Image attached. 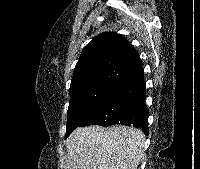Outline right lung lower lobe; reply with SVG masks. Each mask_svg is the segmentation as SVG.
<instances>
[{
  "instance_id": "obj_1",
  "label": "right lung lower lobe",
  "mask_w": 200,
  "mask_h": 169,
  "mask_svg": "<svg viewBox=\"0 0 200 169\" xmlns=\"http://www.w3.org/2000/svg\"><path fill=\"white\" fill-rule=\"evenodd\" d=\"M149 111L145 104L143 73L119 82L103 102L79 127L88 125L134 126L148 135Z\"/></svg>"
}]
</instances>
